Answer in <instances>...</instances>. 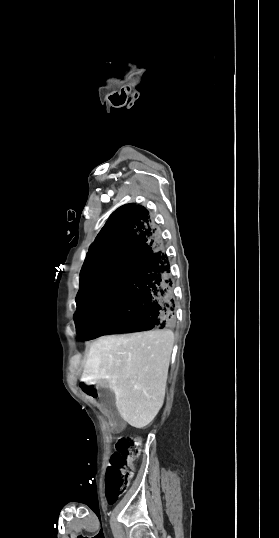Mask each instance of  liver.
Instances as JSON below:
<instances>
[{"label": "liver", "instance_id": "6515ba94", "mask_svg": "<svg viewBox=\"0 0 279 538\" xmlns=\"http://www.w3.org/2000/svg\"><path fill=\"white\" fill-rule=\"evenodd\" d=\"M173 344L172 330L102 336L90 348L82 378L108 386L121 418L145 428L163 406Z\"/></svg>", "mask_w": 279, "mask_h": 538}]
</instances>
